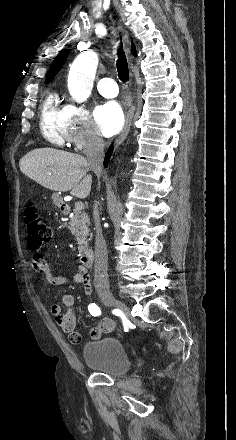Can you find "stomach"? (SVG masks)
Masks as SVG:
<instances>
[{"instance_id": "stomach-1", "label": "stomach", "mask_w": 236, "mask_h": 440, "mask_svg": "<svg viewBox=\"0 0 236 440\" xmlns=\"http://www.w3.org/2000/svg\"><path fill=\"white\" fill-rule=\"evenodd\" d=\"M52 200H53V203H54L57 207L62 208V206H63V201H62V198L60 197V195H59L58 193H54V194L52 195Z\"/></svg>"}]
</instances>
